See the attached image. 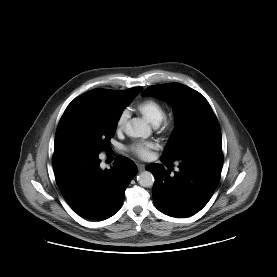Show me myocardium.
I'll list each match as a JSON object with an SVG mask.
<instances>
[{
	"mask_svg": "<svg viewBox=\"0 0 277 277\" xmlns=\"http://www.w3.org/2000/svg\"><path fill=\"white\" fill-rule=\"evenodd\" d=\"M157 126L162 133H169L174 127V120L172 117L165 115L162 121Z\"/></svg>",
	"mask_w": 277,
	"mask_h": 277,
	"instance_id": "obj_1",
	"label": "myocardium"
}]
</instances>
